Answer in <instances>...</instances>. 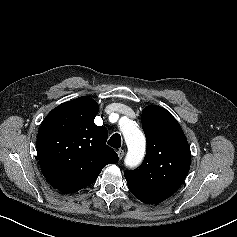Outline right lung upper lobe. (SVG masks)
Returning a JSON list of instances; mask_svg holds the SVG:
<instances>
[{
	"label": "right lung upper lobe",
	"instance_id": "right-lung-upper-lobe-1",
	"mask_svg": "<svg viewBox=\"0 0 237 237\" xmlns=\"http://www.w3.org/2000/svg\"><path fill=\"white\" fill-rule=\"evenodd\" d=\"M98 104L82 96L53 109L37 136V154L47 181L63 193H74L95 182L102 168L118 162L106 145L107 129L94 118Z\"/></svg>",
	"mask_w": 237,
	"mask_h": 237
}]
</instances>
